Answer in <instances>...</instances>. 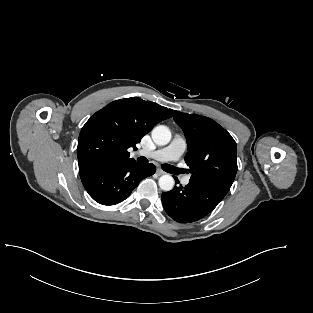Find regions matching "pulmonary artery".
<instances>
[{
  "label": "pulmonary artery",
  "instance_id": "pulmonary-artery-1",
  "mask_svg": "<svg viewBox=\"0 0 313 313\" xmlns=\"http://www.w3.org/2000/svg\"><path fill=\"white\" fill-rule=\"evenodd\" d=\"M185 149V140L180 136H175L168 146L151 152L141 151V154L158 161H177ZM189 181L190 177L186 176L182 179V184L187 185Z\"/></svg>",
  "mask_w": 313,
  "mask_h": 313
}]
</instances>
